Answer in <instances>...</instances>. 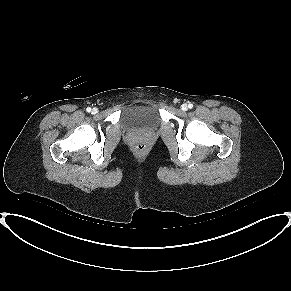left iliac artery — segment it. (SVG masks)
<instances>
[{
    "mask_svg": "<svg viewBox=\"0 0 291 291\" xmlns=\"http://www.w3.org/2000/svg\"><path fill=\"white\" fill-rule=\"evenodd\" d=\"M188 107H189L190 109L193 108V104L189 103V104H188Z\"/></svg>",
    "mask_w": 291,
    "mask_h": 291,
    "instance_id": "1",
    "label": "left iliac artery"
}]
</instances>
